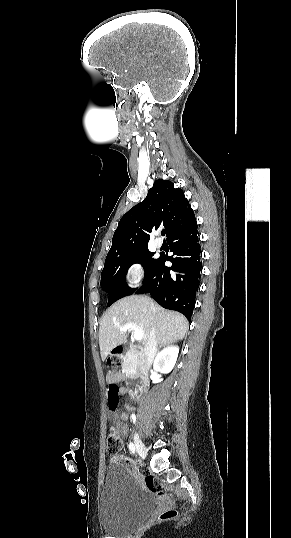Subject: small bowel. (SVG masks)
Segmentation results:
<instances>
[{"instance_id": "c3829d8e", "label": "small bowel", "mask_w": 291, "mask_h": 538, "mask_svg": "<svg viewBox=\"0 0 291 538\" xmlns=\"http://www.w3.org/2000/svg\"><path fill=\"white\" fill-rule=\"evenodd\" d=\"M125 378L126 377L123 374L111 373V374H109L107 376V382H108V384H116L117 385L118 382L125 380ZM119 394L120 395L125 394V389L123 387H119ZM125 407H126L127 410H133V406H131L128 403L125 405ZM109 419H110L111 423L113 424L114 429L117 431L118 435L123 439L128 433V427L124 423L128 419L127 413L118 414L117 412L112 411L109 414ZM110 462L111 463L122 462L125 465L131 467V461L124 455H118L117 454L115 456H111L110 457Z\"/></svg>"}]
</instances>
